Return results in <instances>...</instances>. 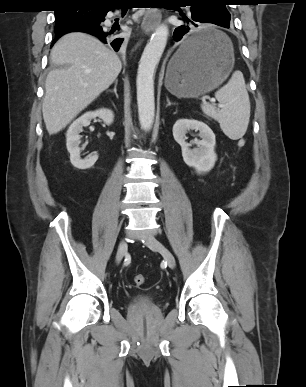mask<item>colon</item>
I'll return each mask as SVG.
<instances>
[{
	"mask_svg": "<svg viewBox=\"0 0 306 387\" xmlns=\"http://www.w3.org/2000/svg\"><path fill=\"white\" fill-rule=\"evenodd\" d=\"M133 281L136 286L140 287L145 283V277L142 274H137L134 276Z\"/></svg>",
	"mask_w": 306,
	"mask_h": 387,
	"instance_id": "5ec220e1",
	"label": "colon"
}]
</instances>
